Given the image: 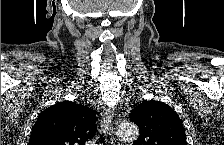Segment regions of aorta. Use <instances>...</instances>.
I'll return each instance as SVG.
<instances>
[{"mask_svg": "<svg viewBox=\"0 0 224 145\" xmlns=\"http://www.w3.org/2000/svg\"><path fill=\"white\" fill-rule=\"evenodd\" d=\"M117 136L126 142H133L139 136L138 127L133 122H124L118 126Z\"/></svg>", "mask_w": 224, "mask_h": 145, "instance_id": "762f6f07", "label": "aorta"}]
</instances>
